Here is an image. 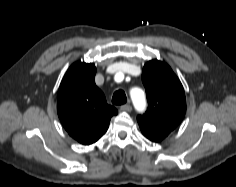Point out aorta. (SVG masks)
<instances>
[{
	"instance_id": "762f6f07",
	"label": "aorta",
	"mask_w": 236,
	"mask_h": 187,
	"mask_svg": "<svg viewBox=\"0 0 236 187\" xmlns=\"http://www.w3.org/2000/svg\"><path fill=\"white\" fill-rule=\"evenodd\" d=\"M131 98L137 107H142L144 105L145 99L143 92L140 89H133L131 91Z\"/></svg>"
}]
</instances>
